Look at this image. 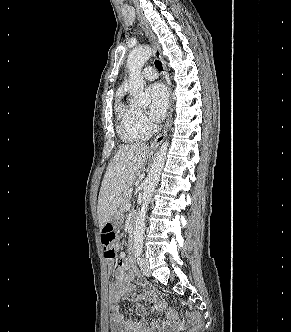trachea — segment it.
<instances>
[{"label": "trachea", "instance_id": "obj_1", "mask_svg": "<svg viewBox=\"0 0 291 332\" xmlns=\"http://www.w3.org/2000/svg\"><path fill=\"white\" fill-rule=\"evenodd\" d=\"M155 66L158 70L163 71L162 63L159 60L155 61Z\"/></svg>", "mask_w": 291, "mask_h": 332}]
</instances>
